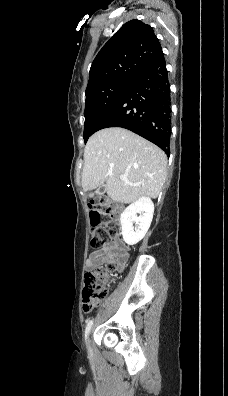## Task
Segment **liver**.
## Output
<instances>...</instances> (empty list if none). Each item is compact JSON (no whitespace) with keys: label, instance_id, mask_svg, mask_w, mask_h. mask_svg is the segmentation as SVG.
Segmentation results:
<instances>
[{"label":"liver","instance_id":"obj_1","mask_svg":"<svg viewBox=\"0 0 228 396\" xmlns=\"http://www.w3.org/2000/svg\"><path fill=\"white\" fill-rule=\"evenodd\" d=\"M166 167L167 157L155 144L120 127L106 128L87 141L82 187L90 191L103 185L111 199L126 204L144 196L155 199L165 183Z\"/></svg>","mask_w":228,"mask_h":396}]
</instances>
